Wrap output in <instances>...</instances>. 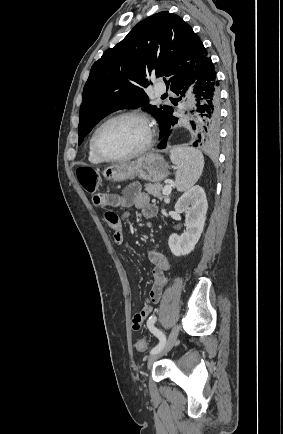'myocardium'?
<instances>
[{"label": "myocardium", "instance_id": "obj_1", "mask_svg": "<svg viewBox=\"0 0 283 434\" xmlns=\"http://www.w3.org/2000/svg\"><path fill=\"white\" fill-rule=\"evenodd\" d=\"M127 118L137 119L145 125V127L147 129V139H146L145 144L137 151L126 154V155H121V156H108V155H106L105 153H103L101 151V149L99 148V146L97 144L98 134L108 124H110L114 121L120 120V119H127ZM153 141H154V128H153V125H152L150 118L145 113L140 112V111H127V112H122V113H118L116 115H113V116L109 117L108 119H106L105 121H103L94 130V132L91 136V139H90V144H91V147H92L94 153L96 154V156L98 158H100L102 161H104V162H119V161H125V160H129V159H133V158H136V157L146 153L152 147Z\"/></svg>", "mask_w": 283, "mask_h": 434}]
</instances>
